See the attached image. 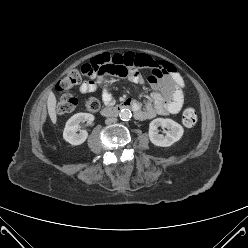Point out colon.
Wrapping results in <instances>:
<instances>
[{
	"label": "colon",
	"mask_w": 248,
	"mask_h": 248,
	"mask_svg": "<svg viewBox=\"0 0 248 248\" xmlns=\"http://www.w3.org/2000/svg\"><path fill=\"white\" fill-rule=\"evenodd\" d=\"M104 72L120 76L126 75V72L122 69L114 55H100L91 59L89 63L83 65L82 73L76 70L68 72L56 85V90L61 94L57 104V113L64 115L74 110L76 100L67 91L81 82L82 75L92 76ZM84 108L88 112H97L100 108V102L96 98H88L84 102ZM197 119L198 116L194 108L189 107L182 113V123L187 128L194 127Z\"/></svg>",
	"instance_id": "obj_1"
}]
</instances>
